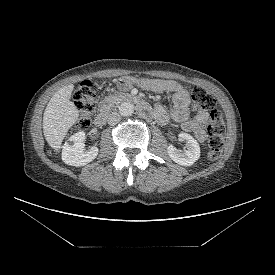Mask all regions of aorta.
<instances>
[{"label":"aorta","mask_w":275,"mask_h":275,"mask_svg":"<svg viewBox=\"0 0 275 275\" xmlns=\"http://www.w3.org/2000/svg\"><path fill=\"white\" fill-rule=\"evenodd\" d=\"M122 116H131L134 113V105L130 102H123L119 107Z\"/></svg>","instance_id":"aorta-1"}]
</instances>
